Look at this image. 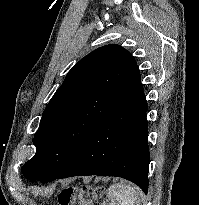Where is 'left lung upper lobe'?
Returning <instances> with one entry per match:
<instances>
[{
  "instance_id": "1",
  "label": "left lung upper lobe",
  "mask_w": 199,
  "mask_h": 205,
  "mask_svg": "<svg viewBox=\"0 0 199 205\" xmlns=\"http://www.w3.org/2000/svg\"><path fill=\"white\" fill-rule=\"evenodd\" d=\"M138 75L133 56L116 44L100 47L77 62L42 114L33 140L36 153L21 168L24 177L44 183L61 175Z\"/></svg>"
}]
</instances>
